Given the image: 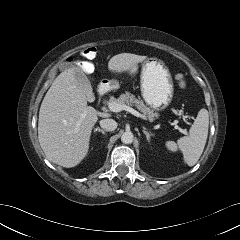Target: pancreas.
<instances>
[{
	"mask_svg": "<svg viewBox=\"0 0 240 240\" xmlns=\"http://www.w3.org/2000/svg\"><path fill=\"white\" fill-rule=\"evenodd\" d=\"M111 102L127 106H135L142 113V115L145 116V120H149L150 122L154 121L155 117H157L156 112H154L151 108L147 107L140 98H136L135 95L129 92L121 94L117 99L110 98L108 103Z\"/></svg>",
	"mask_w": 240,
	"mask_h": 240,
	"instance_id": "pancreas-1",
	"label": "pancreas"
}]
</instances>
